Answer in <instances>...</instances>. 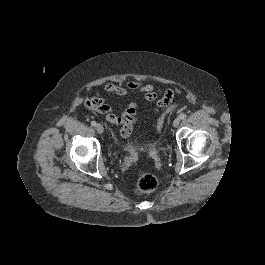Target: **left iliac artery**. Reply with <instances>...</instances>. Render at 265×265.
I'll return each mask as SVG.
<instances>
[{"label": "left iliac artery", "instance_id": "left-iliac-artery-1", "mask_svg": "<svg viewBox=\"0 0 265 265\" xmlns=\"http://www.w3.org/2000/svg\"><path fill=\"white\" fill-rule=\"evenodd\" d=\"M186 117H187V115L185 113H182V114L179 115L180 119H185Z\"/></svg>", "mask_w": 265, "mask_h": 265}]
</instances>
